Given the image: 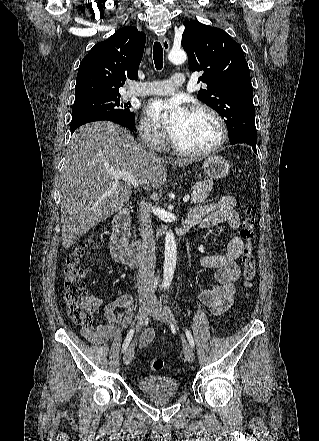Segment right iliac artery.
Listing matches in <instances>:
<instances>
[{
	"label": "right iliac artery",
	"instance_id": "obj_1",
	"mask_svg": "<svg viewBox=\"0 0 319 441\" xmlns=\"http://www.w3.org/2000/svg\"><path fill=\"white\" fill-rule=\"evenodd\" d=\"M134 331H135L134 329H131V330L128 332V334H127V336H126V339H125V341H124V343H123L122 352H125L126 349L128 348L129 343H130V341H131V339H132V337H133Z\"/></svg>",
	"mask_w": 319,
	"mask_h": 441
}]
</instances>
